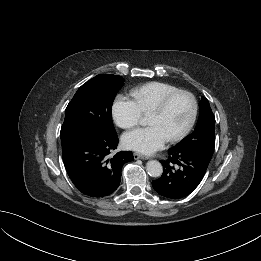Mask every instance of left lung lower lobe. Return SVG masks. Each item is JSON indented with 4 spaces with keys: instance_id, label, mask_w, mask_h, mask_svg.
Returning <instances> with one entry per match:
<instances>
[{
    "instance_id": "0a47b994",
    "label": "left lung lower lobe",
    "mask_w": 261,
    "mask_h": 261,
    "mask_svg": "<svg viewBox=\"0 0 261 261\" xmlns=\"http://www.w3.org/2000/svg\"><path fill=\"white\" fill-rule=\"evenodd\" d=\"M161 162L163 174L159 179L152 181V186L165 198L179 199L196 189L210 161L196 152L171 148L168 150V159Z\"/></svg>"
}]
</instances>
